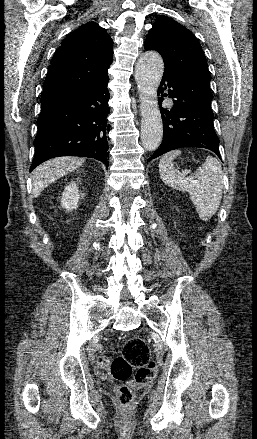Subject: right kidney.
Segmentation results:
<instances>
[{
  "label": "right kidney",
  "mask_w": 257,
  "mask_h": 439,
  "mask_svg": "<svg viewBox=\"0 0 257 439\" xmlns=\"http://www.w3.org/2000/svg\"><path fill=\"white\" fill-rule=\"evenodd\" d=\"M79 202V190L76 183L69 184L62 193L61 206L70 211L76 209Z\"/></svg>",
  "instance_id": "1"
}]
</instances>
